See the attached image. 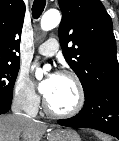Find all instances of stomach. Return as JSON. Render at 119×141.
Instances as JSON below:
<instances>
[{"mask_svg": "<svg viewBox=\"0 0 119 141\" xmlns=\"http://www.w3.org/2000/svg\"><path fill=\"white\" fill-rule=\"evenodd\" d=\"M50 141H81L78 133L72 129L53 131L50 134Z\"/></svg>", "mask_w": 119, "mask_h": 141, "instance_id": "stomach-1", "label": "stomach"}]
</instances>
